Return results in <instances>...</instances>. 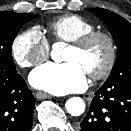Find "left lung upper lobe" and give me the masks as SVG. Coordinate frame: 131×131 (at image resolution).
<instances>
[{
    "label": "left lung upper lobe",
    "instance_id": "obj_1",
    "mask_svg": "<svg viewBox=\"0 0 131 131\" xmlns=\"http://www.w3.org/2000/svg\"><path fill=\"white\" fill-rule=\"evenodd\" d=\"M106 24L117 45L118 57L104 84L131 85V24L118 14L102 8L87 9Z\"/></svg>",
    "mask_w": 131,
    "mask_h": 131
}]
</instances>
